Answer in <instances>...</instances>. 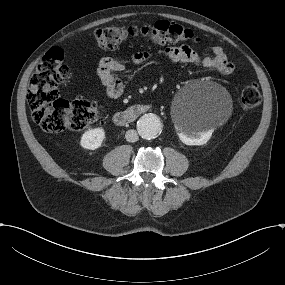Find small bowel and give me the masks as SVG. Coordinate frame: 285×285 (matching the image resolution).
Listing matches in <instances>:
<instances>
[{"label":"small bowel","instance_id":"1","mask_svg":"<svg viewBox=\"0 0 285 285\" xmlns=\"http://www.w3.org/2000/svg\"><path fill=\"white\" fill-rule=\"evenodd\" d=\"M212 55L201 57L188 45L166 47L156 54L141 51L133 55V65L144 64L156 56L164 57L173 62H181L200 66L203 69L215 71L221 75H230L234 71V65L229 61L226 51L222 46H214ZM125 70L124 63L115 57L104 56L99 61L97 73L105 87L108 97L118 98L123 93V82L120 73Z\"/></svg>","mask_w":285,"mask_h":285}]
</instances>
